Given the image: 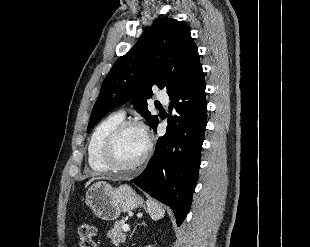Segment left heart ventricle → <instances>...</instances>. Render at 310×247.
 Instances as JSON below:
<instances>
[{
    "mask_svg": "<svg viewBox=\"0 0 310 247\" xmlns=\"http://www.w3.org/2000/svg\"><path fill=\"white\" fill-rule=\"evenodd\" d=\"M146 149V136L138 128H128L119 136L114 149L117 164L132 165L137 162Z\"/></svg>",
    "mask_w": 310,
    "mask_h": 247,
    "instance_id": "b2bd125f",
    "label": "left heart ventricle"
}]
</instances>
